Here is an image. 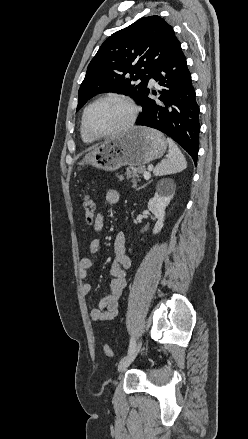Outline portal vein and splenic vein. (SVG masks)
Wrapping results in <instances>:
<instances>
[{
	"instance_id": "obj_1",
	"label": "portal vein and splenic vein",
	"mask_w": 248,
	"mask_h": 439,
	"mask_svg": "<svg viewBox=\"0 0 248 439\" xmlns=\"http://www.w3.org/2000/svg\"><path fill=\"white\" fill-rule=\"evenodd\" d=\"M143 176H144V178H145L146 180H148V179H150L151 174H150L149 171H145L144 174H143Z\"/></svg>"
}]
</instances>
